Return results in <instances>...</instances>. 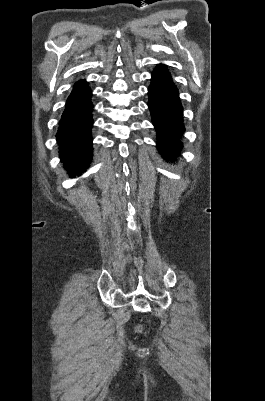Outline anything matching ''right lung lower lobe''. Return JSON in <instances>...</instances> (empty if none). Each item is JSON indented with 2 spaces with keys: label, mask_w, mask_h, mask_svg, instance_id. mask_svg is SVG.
Instances as JSON below:
<instances>
[{
  "label": "right lung lower lobe",
  "mask_w": 265,
  "mask_h": 401,
  "mask_svg": "<svg viewBox=\"0 0 265 401\" xmlns=\"http://www.w3.org/2000/svg\"><path fill=\"white\" fill-rule=\"evenodd\" d=\"M87 83L74 85L59 121L56 138L61 161L71 177L80 175L92 159V103Z\"/></svg>",
  "instance_id": "obj_1"
}]
</instances>
